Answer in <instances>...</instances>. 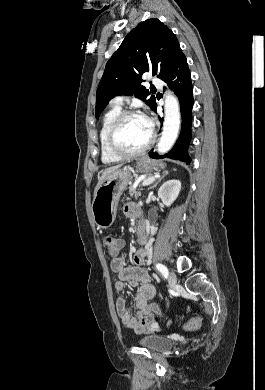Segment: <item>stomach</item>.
I'll list each match as a JSON object with an SVG mask.
<instances>
[{"instance_id": "0dacf381", "label": "stomach", "mask_w": 265, "mask_h": 390, "mask_svg": "<svg viewBox=\"0 0 265 390\" xmlns=\"http://www.w3.org/2000/svg\"><path fill=\"white\" fill-rule=\"evenodd\" d=\"M165 168L162 162H156L148 158H140L137 161L136 171L148 173L153 170ZM131 169H118L108 175L100 184L92 204V214L98 228H109L117 214L119 198L132 180Z\"/></svg>"}]
</instances>
